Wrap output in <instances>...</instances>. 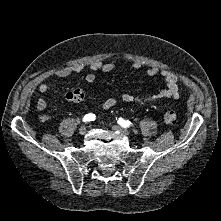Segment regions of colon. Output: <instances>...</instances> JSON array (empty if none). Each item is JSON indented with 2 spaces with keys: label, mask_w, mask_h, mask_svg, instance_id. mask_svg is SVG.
<instances>
[{
  "label": "colon",
  "mask_w": 221,
  "mask_h": 221,
  "mask_svg": "<svg viewBox=\"0 0 221 221\" xmlns=\"http://www.w3.org/2000/svg\"><path fill=\"white\" fill-rule=\"evenodd\" d=\"M84 96V91L81 89H77L73 91V93L69 96V100L72 102H79L84 98ZM164 122L168 125H174L177 122L176 113L173 110H168L164 114Z\"/></svg>",
  "instance_id": "5ec220e1"
}]
</instances>
